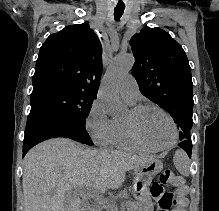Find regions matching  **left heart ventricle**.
<instances>
[{
    "mask_svg": "<svg viewBox=\"0 0 219 211\" xmlns=\"http://www.w3.org/2000/svg\"><path fill=\"white\" fill-rule=\"evenodd\" d=\"M131 116L128 113L127 118ZM137 126L147 141L166 146L173 141L174 133L169 119L157 109H146L136 116Z\"/></svg>",
    "mask_w": 219,
    "mask_h": 211,
    "instance_id": "b2bd125f",
    "label": "left heart ventricle"
}]
</instances>
